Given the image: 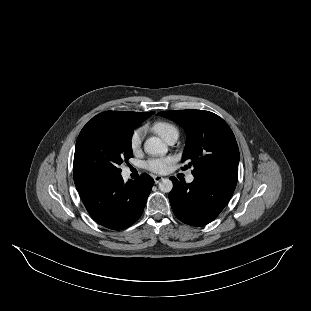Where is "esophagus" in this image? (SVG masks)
<instances>
[{
  "mask_svg": "<svg viewBox=\"0 0 311 311\" xmlns=\"http://www.w3.org/2000/svg\"><path fill=\"white\" fill-rule=\"evenodd\" d=\"M153 179H154L155 184H158L163 179V177L160 175H155L153 176Z\"/></svg>",
  "mask_w": 311,
  "mask_h": 311,
  "instance_id": "1",
  "label": "esophagus"
}]
</instances>
